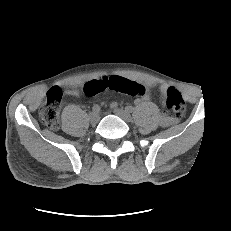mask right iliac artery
Segmentation results:
<instances>
[{
  "instance_id": "right-iliac-artery-1",
  "label": "right iliac artery",
  "mask_w": 231,
  "mask_h": 231,
  "mask_svg": "<svg viewBox=\"0 0 231 231\" xmlns=\"http://www.w3.org/2000/svg\"><path fill=\"white\" fill-rule=\"evenodd\" d=\"M101 110L100 106L99 105H94L93 108H92V111L94 113H99Z\"/></svg>"
}]
</instances>
